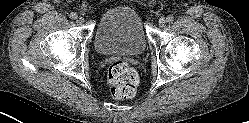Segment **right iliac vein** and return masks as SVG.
<instances>
[{
    "label": "right iliac vein",
    "mask_w": 249,
    "mask_h": 123,
    "mask_svg": "<svg viewBox=\"0 0 249 123\" xmlns=\"http://www.w3.org/2000/svg\"><path fill=\"white\" fill-rule=\"evenodd\" d=\"M76 22L81 25L82 23H84V18L82 16H79L76 18Z\"/></svg>",
    "instance_id": "obj_1"
}]
</instances>
